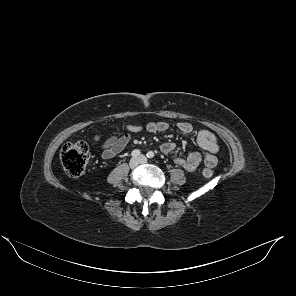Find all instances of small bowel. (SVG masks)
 <instances>
[{
    "instance_id": "c3829d8e",
    "label": "small bowel",
    "mask_w": 296,
    "mask_h": 296,
    "mask_svg": "<svg viewBox=\"0 0 296 296\" xmlns=\"http://www.w3.org/2000/svg\"><path fill=\"white\" fill-rule=\"evenodd\" d=\"M169 124L166 122H150L146 126V130L150 133H160L168 130ZM179 131L189 136L194 133V127L187 121H182L177 124ZM142 130L138 125H127L124 130L118 135L108 137L102 144V158L112 159L121 153L131 140V134L137 133ZM196 141L199 147L204 151L192 152L187 157L175 156L174 161L179 166L187 171H194L198 168L199 164L203 161L206 166L214 167L217 163L216 153L219 150V143L216 135L209 130H199L196 132ZM176 150L174 142H165L161 146L162 153L168 155Z\"/></svg>"
}]
</instances>
